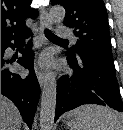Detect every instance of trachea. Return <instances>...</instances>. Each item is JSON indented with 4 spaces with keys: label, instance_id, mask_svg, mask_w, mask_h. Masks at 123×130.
<instances>
[{
    "label": "trachea",
    "instance_id": "3493384b",
    "mask_svg": "<svg viewBox=\"0 0 123 130\" xmlns=\"http://www.w3.org/2000/svg\"><path fill=\"white\" fill-rule=\"evenodd\" d=\"M44 34H45V36H46L48 39H50V40L66 41V40H63V39L57 37L55 34H53L51 31H49V30H47V29L44 30Z\"/></svg>",
    "mask_w": 123,
    "mask_h": 130
}]
</instances>
